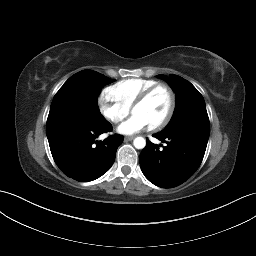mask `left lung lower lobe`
I'll use <instances>...</instances> for the list:
<instances>
[{
  "mask_svg": "<svg viewBox=\"0 0 256 256\" xmlns=\"http://www.w3.org/2000/svg\"><path fill=\"white\" fill-rule=\"evenodd\" d=\"M153 136L167 145L161 150L162 145L147 141L139 158L143 174L158 187L173 188L182 184L200 166L209 135L183 129Z\"/></svg>",
  "mask_w": 256,
  "mask_h": 256,
  "instance_id": "1",
  "label": "left lung lower lobe"
}]
</instances>
